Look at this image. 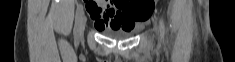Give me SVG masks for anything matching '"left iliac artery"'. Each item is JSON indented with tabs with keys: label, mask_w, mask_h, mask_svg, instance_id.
<instances>
[{
	"label": "left iliac artery",
	"mask_w": 235,
	"mask_h": 62,
	"mask_svg": "<svg viewBox=\"0 0 235 62\" xmlns=\"http://www.w3.org/2000/svg\"><path fill=\"white\" fill-rule=\"evenodd\" d=\"M165 31V26H164V22L162 19H160V32L163 35Z\"/></svg>",
	"instance_id": "left-iliac-artery-1"
}]
</instances>
